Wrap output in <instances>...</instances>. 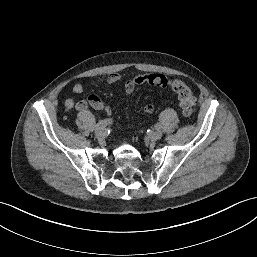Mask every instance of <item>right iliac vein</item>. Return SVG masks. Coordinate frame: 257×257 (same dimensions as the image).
<instances>
[{
	"mask_svg": "<svg viewBox=\"0 0 257 257\" xmlns=\"http://www.w3.org/2000/svg\"><path fill=\"white\" fill-rule=\"evenodd\" d=\"M105 135H106V132L104 129H100V130L96 131V133H95V136L98 140L104 139Z\"/></svg>",
	"mask_w": 257,
	"mask_h": 257,
	"instance_id": "right-iliac-vein-1",
	"label": "right iliac vein"
}]
</instances>
